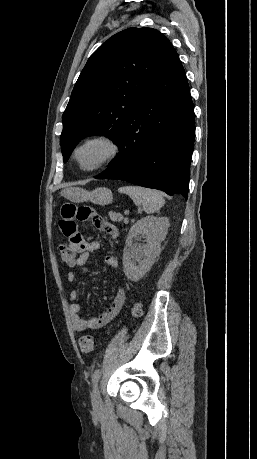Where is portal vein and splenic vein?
Segmentation results:
<instances>
[{"mask_svg":"<svg viewBox=\"0 0 257 459\" xmlns=\"http://www.w3.org/2000/svg\"><path fill=\"white\" fill-rule=\"evenodd\" d=\"M126 214H127V213H126ZM124 222H125V223H128V218H125V219H124Z\"/></svg>","mask_w":257,"mask_h":459,"instance_id":"1","label":"portal vein and splenic vein"}]
</instances>
